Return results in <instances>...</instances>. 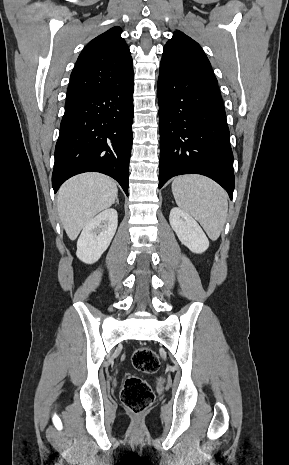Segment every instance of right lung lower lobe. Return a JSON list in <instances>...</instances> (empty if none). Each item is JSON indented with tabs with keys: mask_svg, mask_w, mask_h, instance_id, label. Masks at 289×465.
<instances>
[{
	"mask_svg": "<svg viewBox=\"0 0 289 465\" xmlns=\"http://www.w3.org/2000/svg\"><path fill=\"white\" fill-rule=\"evenodd\" d=\"M133 85L132 75L121 85L65 104L55 148L54 193L68 178L95 171L117 180L128 195Z\"/></svg>",
	"mask_w": 289,
	"mask_h": 465,
	"instance_id": "98d812e1",
	"label": "right lung lower lobe"
}]
</instances>
